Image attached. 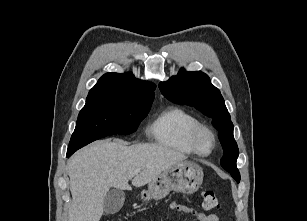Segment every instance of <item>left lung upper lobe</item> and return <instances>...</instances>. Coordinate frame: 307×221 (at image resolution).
<instances>
[{
	"mask_svg": "<svg viewBox=\"0 0 307 221\" xmlns=\"http://www.w3.org/2000/svg\"><path fill=\"white\" fill-rule=\"evenodd\" d=\"M159 88L167 99L193 106L213 118L224 150L220 164L239 183L240 173L236 166L239 152L233 136V123L219 89L211 84L208 75L181 69L176 76L161 82Z\"/></svg>",
	"mask_w": 307,
	"mask_h": 221,
	"instance_id": "left-lung-upper-lobe-1",
	"label": "left lung upper lobe"
}]
</instances>
